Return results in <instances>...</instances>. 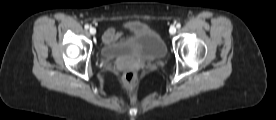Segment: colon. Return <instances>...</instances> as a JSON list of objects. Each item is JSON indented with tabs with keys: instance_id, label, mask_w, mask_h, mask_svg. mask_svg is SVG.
Returning <instances> with one entry per match:
<instances>
[{
	"instance_id": "1",
	"label": "colon",
	"mask_w": 276,
	"mask_h": 120,
	"mask_svg": "<svg viewBox=\"0 0 276 120\" xmlns=\"http://www.w3.org/2000/svg\"><path fill=\"white\" fill-rule=\"evenodd\" d=\"M123 83L124 86L131 91H134L138 87L139 80L135 68L126 67L123 70Z\"/></svg>"
}]
</instances>
